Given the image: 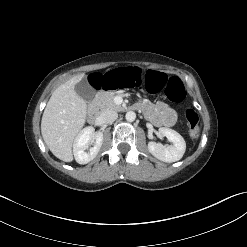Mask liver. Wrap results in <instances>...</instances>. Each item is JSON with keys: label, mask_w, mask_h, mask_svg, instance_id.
<instances>
[{"label": "liver", "mask_w": 247, "mask_h": 247, "mask_svg": "<svg viewBox=\"0 0 247 247\" xmlns=\"http://www.w3.org/2000/svg\"><path fill=\"white\" fill-rule=\"evenodd\" d=\"M83 78L84 74L76 75L56 88L41 120L44 142L65 162L73 161L72 145L86 122L87 104L75 91V85Z\"/></svg>", "instance_id": "liver-1"}]
</instances>
